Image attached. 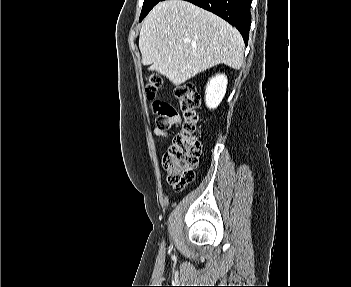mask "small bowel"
Returning <instances> with one entry per match:
<instances>
[{
    "mask_svg": "<svg viewBox=\"0 0 351 287\" xmlns=\"http://www.w3.org/2000/svg\"><path fill=\"white\" fill-rule=\"evenodd\" d=\"M180 123V117L179 115H176L173 119H172V123H171V127L172 128H176ZM154 135L158 136V137H162V138H168L171 135V132L168 130H161L159 128H155L153 130Z\"/></svg>",
    "mask_w": 351,
    "mask_h": 287,
    "instance_id": "small-bowel-1",
    "label": "small bowel"
}]
</instances>
